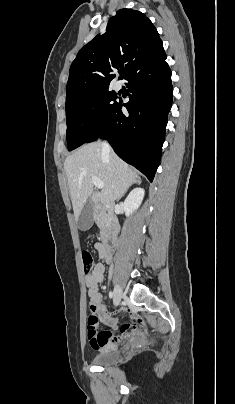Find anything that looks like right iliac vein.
Masks as SVG:
<instances>
[{
  "label": "right iliac vein",
  "mask_w": 235,
  "mask_h": 404,
  "mask_svg": "<svg viewBox=\"0 0 235 404\" xmlns=\"http://www.w3.org/2000/svg\"><path fill=\"white\" fill-rule=\"evenodd\" d=\"M122 297H123L122 289L120 288L119 285H116L113 296V302L115 306H118L120 304Z\"/></svg>",
  "instance_id": "obj_1"
}]
</instances>
